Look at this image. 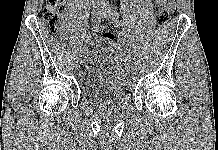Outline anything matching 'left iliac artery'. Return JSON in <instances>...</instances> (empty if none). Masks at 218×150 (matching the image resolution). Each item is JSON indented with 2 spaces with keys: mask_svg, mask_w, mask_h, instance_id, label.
Returning <instances> with one entry per match:
<instances>
[{
  "mask_svg": "<svg viewBox=\"0 0 218 150\" xmlns=\"http://www.w3.org/2000/svg\"><path fill=\"white\" fill-rule=\"evenodd\" d=\"M116 25H118V27H123V22L119 21L118 19L115 20ZM134 58V57H133ZM133 69V63L128 62L127 63V69Z\"/></svg>",
  "mask_w": 218,
  "mask_h": 150,
  "instance_id": "left-iliac-artery-1",
  "label": "left iliac artery"
}]
</instances>
